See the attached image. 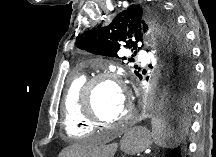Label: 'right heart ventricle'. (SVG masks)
Here are the masks:
<instances>
[{
	"mask_svg": "<svg viewBox=\"0 0 216 157\" xmlns=\"http://www.w3.org/2000/svg\"><path fill=\"white\" fill-rule=\"evenodd\" d=\"M86 81L87 77L83 73L71 74L63 93L61 101L63 128L71 137L88 135L94 129V125L82 115L79 105L80 90Z\"/></svg>",
	"mask_w": 216,
	"mask_h": 157,
	"instance_id": "obj_1",
	"label": "right heart ventricle"
}]
</instances>
